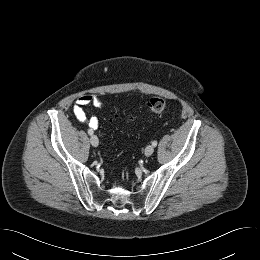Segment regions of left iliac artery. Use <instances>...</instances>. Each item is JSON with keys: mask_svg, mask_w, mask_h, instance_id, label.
<instances>
[{"mask_svg": "<svg viewBox=\"0 0 260 260\" xmlns=\"http://www.w3.org/2000/svg\"><path fill=\"white\" fill-rule=\"evenodd\" d=\"M157 143H158L157 141H153L152 145L155 147V146H157Z\"/></svg>", "mask_w": 260, "mask_h": 260, "instance_id": "44dca946", "label": "left iliac artery"}]
</instances>
